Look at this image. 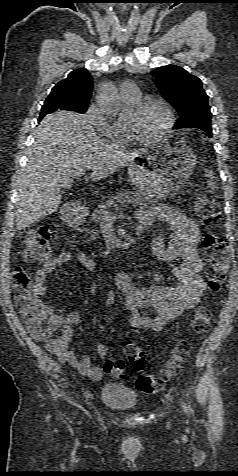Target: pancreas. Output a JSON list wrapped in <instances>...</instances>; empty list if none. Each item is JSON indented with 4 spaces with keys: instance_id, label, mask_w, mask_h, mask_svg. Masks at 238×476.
<instances>
[{
    "instance_id": "obj_1",
    "label": "pancreas",
    "mask_w": 238,
    "mask_h": 476,
    "mask_svg": "<svg viewBox=\"0 0 238 476\" xmlns=\"http://www.w3.org/2000/svg\"><path fill=\"white\" fill-rule=\"evenodd\" d=\"M154 203L155 200L146 197L141 193L133 191H119L116 195L106 200L94 210L92 213V221L95 223V225H101L104 221L103 218L105 214L113 210H118L120 205L128 206L129 204H132L134 207H141L145 209Z\"/></svg>"
}]
</instances>
